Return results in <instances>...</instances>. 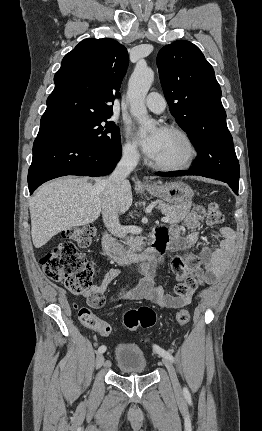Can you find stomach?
<instances>
[{
    "label": "stomach",
    "instance_id": "stomach-1",
    "mask_svg": "<svg viewBox=\"0 0 262 431\" xmlns=\"http://www.w3.org/2000/svg\"><path fill=\"white\" fill-rule=\"evenodd\" d=\"M145 188L151 195L171 205L189 204L194 196L192 188L182 181L153 184Z\"/></svg>",
    "mask_w": 262,
    "mask_h": 431
}]
</instances>
